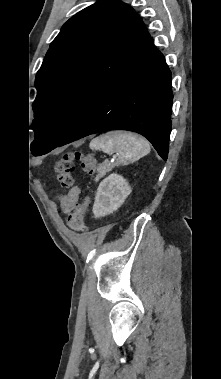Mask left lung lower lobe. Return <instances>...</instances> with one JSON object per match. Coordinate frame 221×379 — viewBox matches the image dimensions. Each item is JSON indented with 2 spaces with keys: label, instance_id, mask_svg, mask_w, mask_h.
Returning a JSON list of instances; mask_svg holds the SVG:
<instances>
[{
  "label": "left lung lower lobe",
  "instance_id": "1",
  "mask_svg": "<svg viewBox=\"0 0 221 379\" xmlns=\"http://www.w3.org/2000/svg\"><path fill=\"white\" fill-rule=\"evenodd\" d=\"M172 100L171 72L150 38L56 147L95 133L129 130L146 137L166 160Z\"/></svg>",
  "mask_w": 221,
  "mask_h": 379
}]
</instances>
